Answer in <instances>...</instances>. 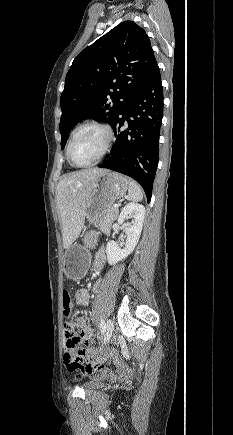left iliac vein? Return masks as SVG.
<instances>
[{
	"instance_id": "4c4485c4",
	"label": "left iliac vein",
	"mask_w": 233,
	"mask_h": 435,
	"mask_svg": "<svg viewBox=\"0 0 233 435\" xmlns=\"http://www.w3.org/2000/svg\"><path fill=\"white\" fill-rule=\"evenodd\" d=\"M114 332V324L111 319L107 320L106 322V330H105V342H108L111 337L113 336Z\"/></svg>"
}]
</instances>
